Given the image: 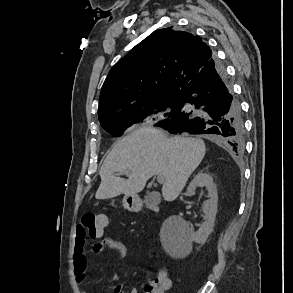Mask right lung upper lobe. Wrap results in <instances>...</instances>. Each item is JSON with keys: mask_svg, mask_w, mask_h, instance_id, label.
I'll list each match as a JSON object with an SVG mask.
<instances>
[{"mask_svg": "<svg viewBox=\"0 0 293 293\" xmlns=\"http://www.w3.org/2000/svg\"><path fill=\"white\" fill-rule=\"evenodd\" d=\"M214 57L198 36L172 27L154 31L110 70L101 89L99 119L176 99Z\"/></svg>", "mask_w": 293, "mask_h": 293, "instance_id": "right-lung-upper-lobe-1", "label": "right lung upper lobe"}]
</instances>
